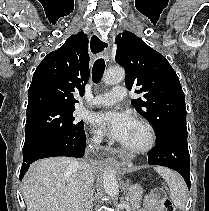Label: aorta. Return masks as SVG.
I'll return each mask as SVG.
<instances>
[{
	"mask_svg": "<svg viewBox=\"0 0 209 211\" xmlns=\"http://www.w3.org/2000/svg\"><path fill=\"white\" fill-rule=\"evenodd\" d=\"M125 78V71L121 67L109 68L103 76V81L107 85H114L122 82ZM103 184L105 192L115 197L118 194V182L114 171L112 169H106L103 173Z\"/></svg>",
	"mask_w": 209,
	"mask_h": 211,
	"instance_id": "1",
	"label": "aorta"
}]
</instances>
